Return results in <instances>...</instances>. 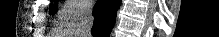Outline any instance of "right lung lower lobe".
<instances>
[{
    "label": "right lung lower lobe",
    "instance_id": "1",
    "mask_svg": "<svg viewBox=\"0 0 219 37\" xmlns=\"http://www.w3.org/2000/svg\"><path fill=\"white\" fill-rule=\"evenodd\" d=\"M121 0H99L94 6L93 37H109L116 21V11Z\"/></svg>",
    "mask_w": 219,
    "mask_h": 37
}]
</instances>
